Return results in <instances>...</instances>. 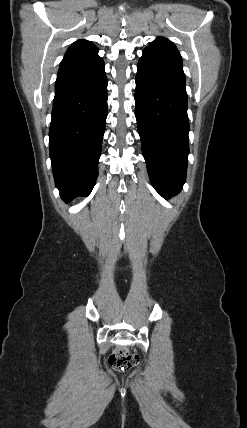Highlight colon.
Wrapping results in <instances>:
<instances>
[{"mask_svg": "<svg viewBox=\"0 0 247 428\" xmlns=\"http://www.w3.org/2000/svg\"><path fill=\"white\" fill-rule=\"evenodd\" d=\"M139 361V356L131 353L126 347L116 349L109 357V365L117 370H127L135 366Z\"/></svg>", "mask_w": 247, "mask_h": 428, "instance_id": "1", "label": "colon"}]
</instances>
